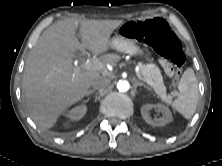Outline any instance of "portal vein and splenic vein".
<instances>
[{"label": "portal vein and splenic vein", "instance_id": "portal-vein-and-splenic-vein-1", "mask_svg": "<svg viewBox=\"0 0 222 166\" xmlns=\"http://www.w3.org/2000/svg\"><path fill=\"white\" fill-rule=\"evenodd\" d=\"M76 69L77 70H90V71H103L104 66L101 62L97 60H90V61L84 62L81 67H77ZM136 75L140 80H143L141 73L137 72Z\"/></svg>", "mask_w": 222, "mask_h": 166}]
</instances>
